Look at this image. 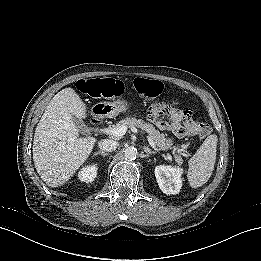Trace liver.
<instances>
[{"label":"liver","mask_w":261,"mask_h":261,"mask_svg":"<svg viewBox=\"0 0 261 261\" xmlns=\"http://www.w3.org/2000/svg\"><path fill=\"white\" fill-rule=\"evenodd\" d=\"M86 104L73 88H64L49 102L34 135L33 160L40 177L51 187L64 184L91 154L93 136L76 121L86 118Z\"/></svg>","instance_id":"6515ba94"}]
</instances>
